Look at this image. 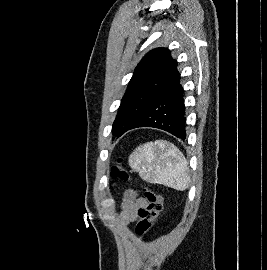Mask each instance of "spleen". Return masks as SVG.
<instances>
[{
  "instance_id": "3e777b00",
  "label": "spleen",
  "mask_w": 267,
  "mask_h": 270,
  "mask_svg": "<svg viewBox=\"0 0 267 270\" xmlns=\"http://www.w3.org/2000/svg\"><path fill=\"white\" fill-rule=\"evenodd\" d=\"M128 161L129 166L145 181L180 191L188 188V162L182 152L166 140L140 145L132 152Z\"/></svg>"
}]
</instances>
